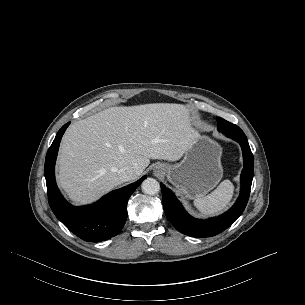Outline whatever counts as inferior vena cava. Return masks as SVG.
Listing matches in <instances>:
<instances>
[{"instance_id": "1", "label": "inferior vena cava", "mask_w": 305, "mask_h": 305, "mask_svg": "<svg viewBox=\"0 0 305 305\" xmlns=\"http://www.w3.org/2000/svg\"><path fill=\"white\" fill-rule=\"evenodd\" d=\"M133 168L130 167V166H125L123 168H121L119 171H118V174L120 176V179L125 182V181H129L130 178L132 177L133 175Z\"/></svg>"}]
</instances>
